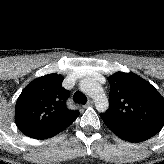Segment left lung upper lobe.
<instances>
[{
	"label": "left lung upper lobe",
	"mask_w": 164,
	"mask_h": 164,
	"mask_svg": "<svg viewBox=\"0 0 164 164\" xmlns=\"http://www.w3.org/2000/svg\"><path fill=\"white\" fill-rule=\"evenodd\" d=\"M111 85L109 110L116 122L157 134L164 125V98L149 82L134 73L117 72Z\"/></svg>",
	"instance_id": "left-lung-upper-lobe-1"
}]
</instances>
